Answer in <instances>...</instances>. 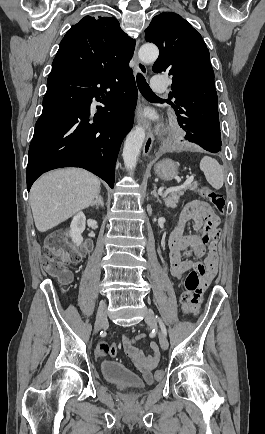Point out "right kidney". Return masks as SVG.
I'll use <instances>...</instances> for the list:
<instances>
[{
  "label": "right kidney",
  "instance_id": "right-kidney-1",
  "mask_svg": "<svg viewBox=\"0 0 265 434\" xmlns=\"http://www.w3.org/2000/svg\"><path fill=\"white\" fill-rule=\"evenodd\" d=\"M86 228V218L83 212H78L76 216H74L71 224H70V236L72 238V242L76 244V246H80L83 242V238L81 236L82 232H84Z\"/></svg>",
  "mask_w": 265,
  "mask_h": 434
}]
</instances>
